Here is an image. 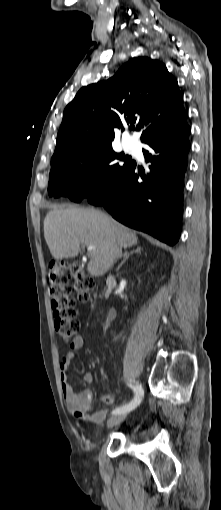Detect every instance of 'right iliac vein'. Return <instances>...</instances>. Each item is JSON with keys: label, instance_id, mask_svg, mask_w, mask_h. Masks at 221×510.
<instances>
[{"label": "right iliac vein", "instance_id": "right-iliac-vein-1", "mask_svg": "<svg viewBox=\"0 0 221 510\" xmlns=\"http://www.w3.org/2000/svg\"><path fill=\"white\" fill-rule=\"evenodd\" d=\"M126 416H127L126 413H119V414H116V415L110 417L107 421V426L110 428V427L120 424L122 421H124Z\"/></svg>", "mask_w": 221, "mask_h": 510}]
</instances>
